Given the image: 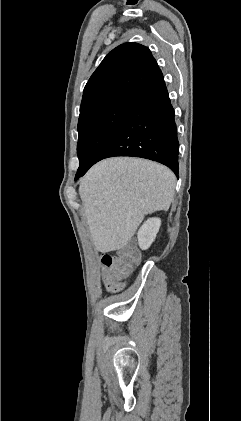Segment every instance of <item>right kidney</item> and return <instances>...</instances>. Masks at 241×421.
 <instances>
[{
    "instance_id": "right-kidney-1",
    "label": "right kidney",
    "mask_w": 241,
    "mask_h": 421,
    "mask_svg": "<svg viewBox=\"0 0 241 421\" xmlns=\"http://www.w3.org/2000/svg\"><path fill=\"white\" fill-rule=\"evenodd\" d=\"M161 225L159 218H150L141 226L137 238L139 247L142 250L148 249L156 238Z\"/></svg>"
}]
</instances>
